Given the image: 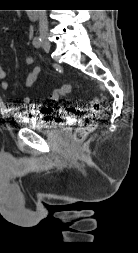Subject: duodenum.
I'll list each match as a JSON object with an SVG mask.
<instances>
[{
	"instance_id": "duodenum-1",
	"label": "duodenum",
	"mask_w": 138,
	"mask_h": 253,
	"mask_svg": "<svg viewBox=\"0 0 138 253\" xmlns=\"http://www.w3.org/2000/svg\"><path fill=\"white\" fill-rule=\"evenodd\" d=\"M27 14H28V18L31 20H35L38 17L37 9H29Z\"/></svg>"
}]
</instances>
